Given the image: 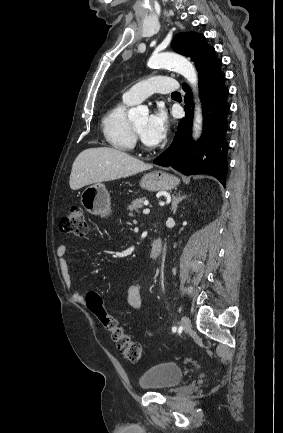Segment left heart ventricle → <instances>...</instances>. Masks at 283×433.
Here are the masks:
<instances>
[{
  "label": "left heart ventricle",
  "mask_w": 283,
  "mask_h": 433,
  "mask_svg": "<svg viewBox=\"0 0 283 433\" xmlns=\"http://www.w3.org/2000/svg\"><path fill=\"white\" fill-rule=\"evenodd\" d=\"M147 121H148V118L144 117L141 120L134 123V126L137 129V131L139 132V134H142V132L144 131L146 124H147Z\"/></svg>",
  "instance_id": "left-heart-ventricle-1"
}]
</instances>
